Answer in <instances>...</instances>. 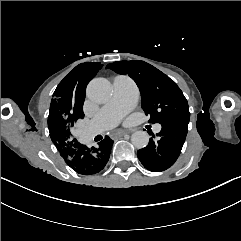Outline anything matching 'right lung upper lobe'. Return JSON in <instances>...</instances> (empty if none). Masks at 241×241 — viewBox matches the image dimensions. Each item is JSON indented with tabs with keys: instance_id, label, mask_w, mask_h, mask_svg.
Here are the masks:
<instances>
[{
	"instance_id": "cb5924a9",
	"label": "right lung upper lobe",
	"mask_w": 241,
	"mask_h": 241,
	"mask_svg": "<svg viewBox=\"0 0 241 241\" xmlns=\"http://www.w3.org/2000/svg\"><path fill=\"white\" fill-rule=\"evenodd\" d=\"M76 121H69L63 117L49 113L48 128L52 142L57 149L71 145L75 138L72 137L71 129Z\"/></svg>"
}]
</instances>
